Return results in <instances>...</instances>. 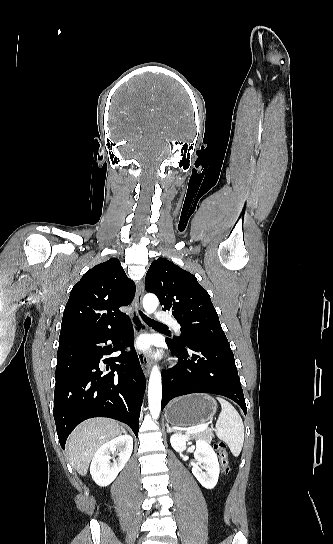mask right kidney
Instances as JSON below:
<instances>
[{
  "label": "right kidney",
  "instance_id": "obj_1",
  "mask_svg": "<svg viewBox=\"0 0 333 544\" xmlns=\"http://www.w3.org/2000/svg\"><path fill=\"white\" fill-rule=\"evenodd\" d=\"M133 450V438L126 433L103 444L95 453L90 473L94 482L101 486H108L124 468ZM118 458L111 462L110 454H117Z\"/></svg>",
  "mask_w": 333,
  "mask_h": 544
}]
</instances>
